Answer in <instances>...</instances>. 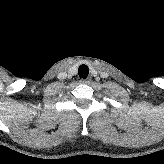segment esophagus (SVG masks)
<instances>
[{
  "instance_id": "esophagus-1",
  "label": "esophagus",
  "mask_w": 164,
  "mask_h": 164,
  "mask_svg": "<svg viewBox=\"0 0 164 164\" xmlns=\"http://www.w3.org/2000/svg\"><path fill=\"white\" fill-rule=\"evenodd\" d=\"M80 82L83 83V84H89L90 79H81Z\"/></svg>"
}]
</instances>
